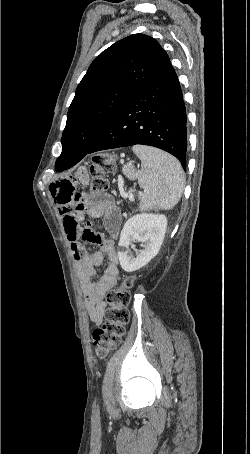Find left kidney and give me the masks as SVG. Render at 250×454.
<instances>
[{
  "mask_svg": "<svg viewBox=\"0 0 250 454\" xmlns=\"http://www.w3.org/2000/svg\"><path fill=\"white\" fill-rule=\"evenodd\" d=\"M167 229L163 214L141 213L129 218L121 231L118 258L126 272L136 271L150 262L159 252ZM141 242L144 249L133 256L129 246Z\"/></svg>",
  "mask_w": 250,
  "mask_h": 454,
  "instance_id": "1",
  "label": "left kidney"
}]
</instances>
